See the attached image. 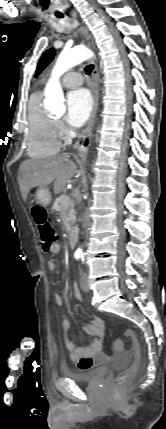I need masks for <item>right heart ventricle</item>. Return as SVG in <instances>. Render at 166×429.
<instances>
[{"mask_svg":"<svg viewBox=\"0 0 166 429\" xmlns=\"http://www.w3.org/2000/svg\"><path fill=\"white\" fill-rule=\"evenodd\" d=\"M41 94L34 93L28 105L27 152L32 158H46L60 148L54 119L43 109Z\"/></svg>","mask_w":166,"mask_h":429,"instance_id":"1","label":"right heart ventricle"}]
</instances>
